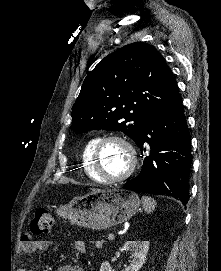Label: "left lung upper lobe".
Returning a JSON list of instances; mask_svg holds the SVG:
<instances>
[{
	"instance_id": "left-lung-upper-lobe-1",
	"label": "left lung upper lobe",
	"mask_w": 221,
	"mask_h": 271,
	"mask_svg": "<svg viewBox=\"0 0 221 271\" xmlns=\"http://www.w3.org/2000/svg\"><path fill=\"white\" fill-rule=\"evenodd\" d=\"M177 91L171 69L153 45H126L88 73L72 108L71 129L122 131L136 141L142 125Z\"/></svg>"
}]
</instances>
